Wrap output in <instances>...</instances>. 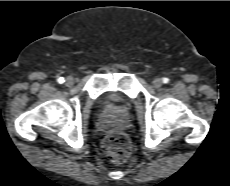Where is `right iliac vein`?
<instances>
[{
	"mask_svg": "<svg viewBox=\"0 0 230 186\" xmlns=\"http://www.w3.org/2000/svg\"><path fill=\"white\" fill-rule=\"evenodd\" d=\"M74 82H75V79L73 77H67L65 84H66V86L70 87L74 84Z\"/></svg>",
	"mask_w": 230,
	"mask_h": 186,
	"instance_id": "right-iliac-vein-1",
	"label": "right iliac vein"
}]
</instances>
